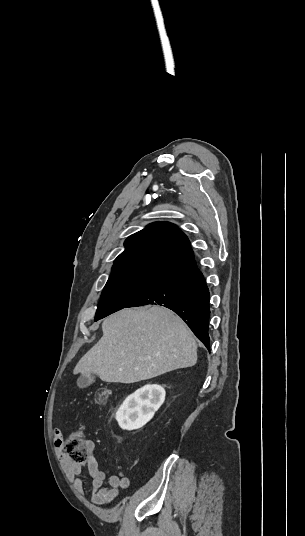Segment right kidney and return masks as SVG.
Here are the masks:
<instances>
[{"label": "right kidney", "mask_w": 305, "mask_h": 536, "mask_svg": "<svg viewBox=\"0 0 305 536\" xmlns=\"http://www.w3.org/2000/svg\"><path fill=\"white\" fill-rule=\"evenodd\" d=\"M166 392L158 384H146L131 394L120 406L116 420L123 430H137L145 426L165 400Z\"/></svg>", "instance_id": "ca27d5eb"}]
</instances>
